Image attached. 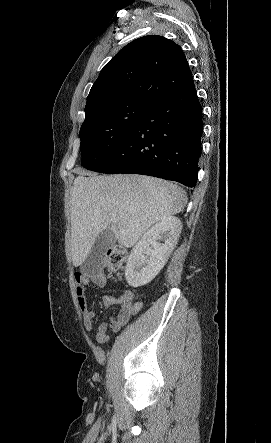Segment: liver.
Here are the masks:
<instances>
[{
    "instance_id": "1",
    "label": "liver",
    "mask_w": 271,
    "mask_h": 443,
    "mask_svg": "<svg viewBox=\"0 0 271 443\" xmlns=\"http://www.w3.org/2000/svg\"><path fill=\"white\" fill-rule=\"evenodd\" d=\"M185 194L177 184L151 176L81 172L71 190L73 265L85 261L104 229H111L121 245L132 247L153 223L182 212Z\"/></svg>"
}]
</instances>
